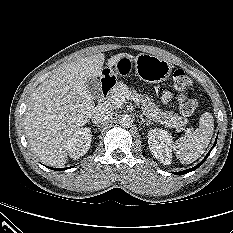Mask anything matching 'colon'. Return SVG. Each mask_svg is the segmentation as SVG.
I'll use <instances>...</instances> for the list:
<instances>
[{"instance_id": "5ec220e1", "label": "colon", "mask_w": 233, "mask_h": 233, "mask_svg": "<svg viewBox=\"0 0 233 233\" xmlns=\"http://www.w3.org/2000/svg\"><path fill=\"white\" fill-rule=\"evenodd\" d=\"M173 81L176 90L179 92L178 104L182 115H192L197 107L198 102L195 98L188 95V91L193 85L192 79L182 69H177L173 74Z\"/></svg>"}]
</instances>
